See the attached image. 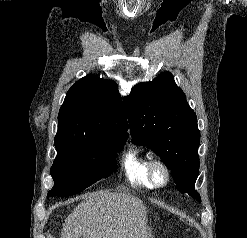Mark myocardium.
I'll use <instances>...</instances> for the list:
<instances>
[{
    "mask_svg": "<svg viewBox=\"0 0 247 238\" xmlns=\"http://www.w3.org/2000/svg\"><path fill=\"white\" fill-rule=\"evenodd\" d=\"M158 171H161L163 173L162 180H159L157 178ZM147 175L153 187L161 188V187L166 186L169 183L171 179V170L168 164L164 160L160 158H154L150 160L148 164Z\"/></svg>",
    "mask_w": 247,
    "mask_h": 238,
    "instance_id": "1",
    "label": "myocardium"
}]
</instances>
